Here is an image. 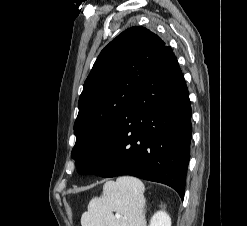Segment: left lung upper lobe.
<instances>
[{
    "label": "left lung upper lobe",
    "mask_w": 247,
    "mask_h": 226,
    "mask_svg": "<svg viewBox=\"0 0 247 226\" xmlns=\"http://www.w3.org/2000/svg\"><path fill=\"white\" fill-rule=\"evenodd\" d=\"M165 43L141 26L113 39L99 54L80 95L71 157L81 174L93 152L112 134Z\"/></svg>",
    "instance_id": "obj_1"
}]
</instances>
